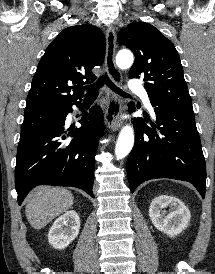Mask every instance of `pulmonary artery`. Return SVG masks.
<instances>
[{
    "label": "pulmonary artery",
    "instance_id": "e3ab8cb5",
    "mask_svg": "<svg viewBox=\"0 0 215 274\" xmlns=\"http://www.w3.org/2000/svg\"><path fill=\"white\" fill-rule=\"evenodd\" d=\"M129 87H130V89H131L132 91L137 92V93H139V94L141 95L142 100H143V102H144V104H145V106H146L147 108H149V109L152 108V107H151V103H150L149 96H148L146 90L144 89V87H143L141 84H139V83L136 82V81H132V82L130 83V86H129Z\"/></svg>",
    "mask_w": 215,
    "mask_h": 274
}]
</instances>
